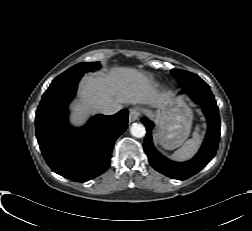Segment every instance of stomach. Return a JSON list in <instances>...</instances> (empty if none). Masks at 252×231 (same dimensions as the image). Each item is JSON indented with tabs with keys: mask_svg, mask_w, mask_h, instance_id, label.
Returning a JSON list of instances; mask_svg holds the SVG:
<instances>
[{
	"mask_svg": "<svg viewBox=\"0 0 252 231\" xmlns=\"http://www.w3.org/2000/svg\"><path fill=\"white\" fill-rule=\"evenodd\" d=\"M148 113L159 125L156 139L165 149H175L188 138L193 115L181 99L171 100L155 113Z\"/></svg>",
	"mask_w": 252,
	"mask_h": 231,
	"instance_id": "obj_1",
	"label": "stomach"
}]
</instances>
